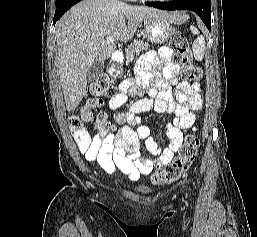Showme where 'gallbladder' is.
Wrapping results in <instances>:
<instances>
[{"label": "gallbladder", "instance_id": "1", "mask_svg": "<svg viewBox=\"0 0 257 237\" xmlns=\"http://www.w3.org/2000/svg\"><path fill=\"white\" fill-rule=\"evenodd\" d=\"M103 71V63L95 61L86 72V80L88 83L93 82Z\"/></svg>", "mask_w": 257, "mask_h": 237}]
</instances>
